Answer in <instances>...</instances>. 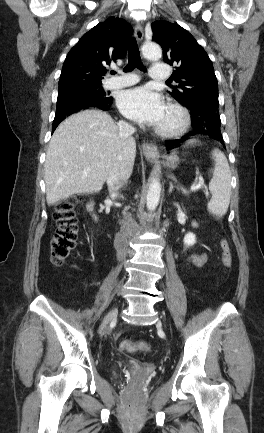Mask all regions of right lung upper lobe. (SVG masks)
Wrapping results in <instances>:
<instances>
[{"label": "right lung upper lobe", "mask_w": 264, "mask_h": 433, "mask_svg": "<svg viewBox=\"0 0 264 433\" xmlns=\"http://www.w3.org/2000/svg\"><path fill=\"white\" fill-rule=\"evenodd\" d=\"M132 27L110 17L87 32L68 53L59 80V91L76 85L101 84L105 64L123 58Z\"/></svg>", "instance_id": "cb5924a9"}]
</instances>
